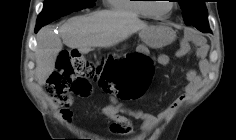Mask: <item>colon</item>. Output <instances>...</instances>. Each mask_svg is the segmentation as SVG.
I'll return each instance as SVG.
<instances>
[{
	"label": "colon",
	"mask_w": 236,
	"mask_h": 140,
	"mask_svg": "<svg viewBox=\"0 0 236 140\" xmlns=\"http://www.w3.org/2000/svg\"><path fill=\"white\" fill-rule=\"evenodd\" d=\"M153 75V63L145 56L107 57L99 63L85 59L77 50H63L57 69L47 83V94L57 103L91 92L90 81H98L105 91L121 99L141 97Z\"/></svg>",
	"instance_id": "colon-1"
}]
</instances>
